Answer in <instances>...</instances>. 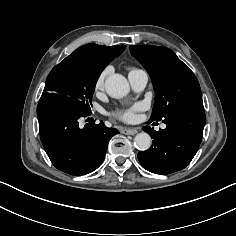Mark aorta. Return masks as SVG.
Segmentation results:
<instances>
[{
  "label": "aorta",
  "instance_id": "obj_1",
  "mask_svg": "<svg viewBox=\"0 0 236 236\" xmlns=\"http://www.w3.org/2000/svg\"><path fill=\"white\" fill-rule=\"evenodd\" d=\"M105 89L113 98H123L130 91L127 79L121 74H112L105 81ZM151 137L148 133L142 132L135 136L134 144L138 150L145 151L151 146Z\"/></svg>",
  "mask_w": 236,
  "mask_h": 236
}]
</instances>
